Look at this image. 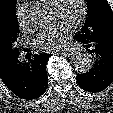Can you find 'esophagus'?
I'll list each match as a JSON object with an SVG mask.
<instances>
[{
	"label": "esophagus",
	"instance_id": "esophagus-1",
	"mask_svg": "<svg viewBox=\"0 0 113 113\" xmlns=\"http://www.w3.org/2000/svg\"><path fill=\"white\" fill-rule=\"evenodd\" d=\"M62 53L66 54L67 56H71V57H73L77 54V52L75 50H72V49L62 51Z\"/></svg>",
	"mask_w": 113,
	"mask_h": 113
}]
</instances>
